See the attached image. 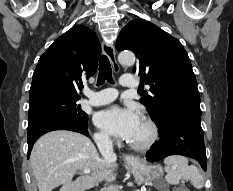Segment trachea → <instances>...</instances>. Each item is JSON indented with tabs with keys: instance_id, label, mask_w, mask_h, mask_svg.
Here are the masks:
<instances>
[{
	"instance_id": "3493384b",
	"label": "trachea",
	"mask_w": 233,
	"mask_h": 191,
	"mask_svg": "<svg viewBox=\"0 0 233 191\" xmlns=\"http://www.w3.org/2000/svg\"><path fill=\"white\" fill-rule=\"evenodd\" d=\"M105 80L112 83V71H111V65L109 62V59L106 55H102L99 59V74H98V85H102ZM83 86H81V89Z\"/></svg>"
}]
</instances>
